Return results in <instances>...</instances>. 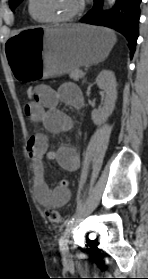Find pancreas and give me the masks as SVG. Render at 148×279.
<instances>
[{
    "mask_svg": "<svg viewBox=\"0 0 148 279\" xmlns=\"http://www.w3.org/2000/svg\"><path fill=\"white\" fill-rule=\"evenodd\" d=\"M69 77L73 79L74 81H79L84 75L82 74V71L78 69H74L68 72Z\"/></svg>",
    "mask_w": 148,
    "mask_h": 279,
    "instance_id": "pancreas-1",
    "label": "pancreas"
}]
</instances>
